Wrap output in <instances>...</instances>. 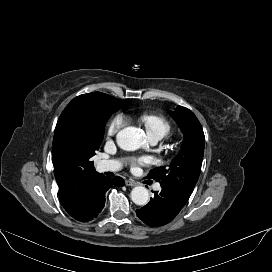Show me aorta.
Returning <instances> with one entry per match:
<instances>
[{
    "label": "aorta",
    "instance_id": "1",
    "mask_svg": "<svg viewBox=\"0 0 272 272\" xmlns=\"http://www.w3.org/2000/svg\"><path fill=\"white\" fill-rule=\"evenodd\" d=\"M117 144L127 151L139 149L144 143V133L135 127H126L118 132L116 136ZM132 201L139 206H144L149 202L148 190L143 186H136L131 191Z\"/></svg>",
    "mask_w": 272,
    "mask_h": 272
}]
</instances>
